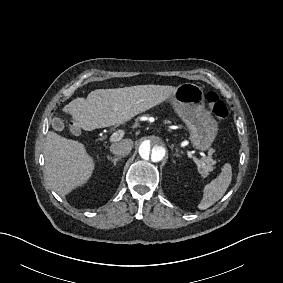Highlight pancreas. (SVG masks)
<instances>
[{
    "mask_svg": "<svg viewBox=\"0 0 283 283\" xmlns=\"http://www.w3.org/2000/svg\"><path fill=\"white\" fill-rule=\"evenodd\" d=\"M165 124H170L171 121L164 120ZM216 164V161L211 158V156L203 157L200 160V163L197 165L198 172L201 174L202 177H207L209 175V172L213 171L214 165Z\"/></svg>",
    "mask_w": 283,
    "mask_h": 283,
    "instance_id": "obj_1",
    "label": "pancreas"
}]
</instances>
